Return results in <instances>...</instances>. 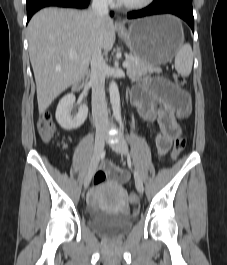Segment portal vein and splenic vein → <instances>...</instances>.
<instances>
[{
	"instance_id": "18ae733b",
	"label": "portal vein and splenic vein",
	"mask_w": 227,
	"mask_h": 265,
	"mask_svg": "<svg viewBox=\"0 0 227 265\" xmlns=\"http://www.w3.org/2000/svg\"><path fill=\"white\" fill-rule=\"evenodd\" d=\"M77 53H71V55H70V57L71 58H77ZM129 66V62L126 60V61H124V63H123V67L124 68H127Z\"/></svg>"
}]
</instances>
